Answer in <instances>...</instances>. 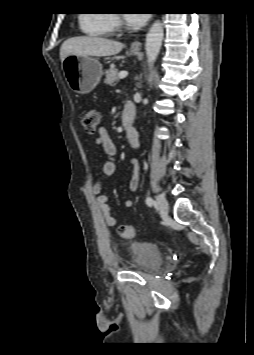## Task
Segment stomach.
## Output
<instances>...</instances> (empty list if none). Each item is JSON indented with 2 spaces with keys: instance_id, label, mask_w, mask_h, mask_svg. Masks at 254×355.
Returning a JSON list of instances; mask_svg holds the SVG:
<instances>
[{
  "instance_id": "0dacf381",
  "label": "stomach",
  "mask_w": 254,
  "mask_h": 355,
  "mask_svg": "<svg viewBox=\"0 0 254 355\" xmlns=\"http://www.w3.org/2000/svg\"><path fill=\"white\" fill-rule=\"evenodd\" d=\"M137 54L138 50H131ZM64 75L71 89L80 94L91 92L102 76V65L96 58L90 56L69 55L63 62Z\"/></svg>"
}]
</instances>
